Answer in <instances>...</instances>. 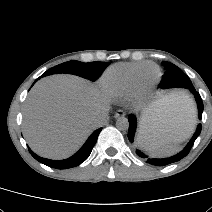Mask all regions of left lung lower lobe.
Listing matches in <instances>:
<instances>
[{
    "label": "left lung lower lobe",
    "instance_id": "left-lung-lower-lobe-1",
    "mask_svg": "<svg viewBox=\"0 0 212 212\" xmlns=\"http://www.w3.org/2000/svg\"><path fill=\"white\" fill-rule=\"evenodd\" d=\"M188 90H190V92L194 95L195 99H196V103L198 106V117L201 120L202 118V112H203V102L201 99L200 94L195 90L194 87H190V88H186ZM128 121H129V130H128V138L129 141L131 143H133L134 141V136H135V131H136V126H137V120L135 115L130 114L128 117ZM201 124L198 125L196 132L194 133L192 139L190 140V142L187 144V146L178 154L169 157V158H150L148 156H146L143 152H141L140 150H137V154L144 158L147 159V162L155 165V166H165L174 162H177L179 160H181L183 157H185L189 151L191 150L194 141L196 140V138L199 136L200 132H201Z\"/></svg>",
    "mask_w": 212,
    "mask_h": 212
}]
</instances>
